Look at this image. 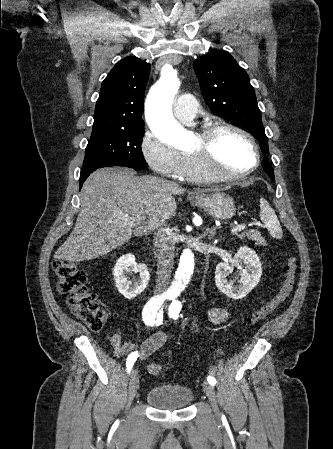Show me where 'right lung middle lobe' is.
Here are the masks:
<instances>
[{
  "mask_svg": "<svg viewBox=\"0 0 333 449\" xmlns=\"http://www.w3.org/2000/svg\"><path fill=\"white\" fill-rule=\"evenodd\" d=\"M143 126L134 129H98L92 131L85 149L83 169L110 166L147 168L141 143Z\"/></svg>",
  "mask_w": 333,
  "mask_h": 449,
  "instance_id": "obj_1",
  "label": "right lung middle lobe"
}]
</instances>
